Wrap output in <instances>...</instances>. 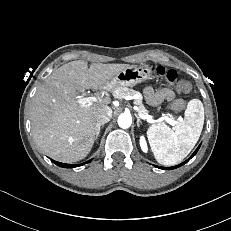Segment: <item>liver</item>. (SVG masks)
I'll return each instance as SVG.
<instances>
[{"instance_id": "1", "label": "liver", "mask_w": 231, "mask_h": 231, "mask_svg": "<svg viewBox=\"0 0 231 231\" xmlns=\"http://www.w3.org/2000/svg\"><path fill=\"white\" fill-rule=\"evenodd\" d=\"M128 64L93 63L77 60L55 70L36 91L30 107L33 138L49 157L77 162L91 151L97 129L96 111L110 103L98 99L79 104L78 92L91 88L112 90L111 79Z\"/></svg>"}]
</instances>
